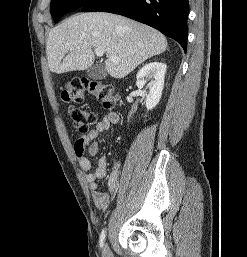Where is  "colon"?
<instances>
[{"instance_id":"5ec220e1","label":"colon","mask_w":247,"mask_h":257,"mask_svg":"<svg viewBox=\"0 0 247 257\" xmlns=\"http://www.w3.org/2000/svg\"><path fill=\"white\" fill-rule=\"evenodd\" d=\"M88 94L103 108L112 109L117 96L111 85L96 80L73 79L69 81L61 92L62 99L67 103H81ZM69 116L74 128L79 132H88L96 123V114L76 106L68 108Z\"/></svg>"}]
</instances>
